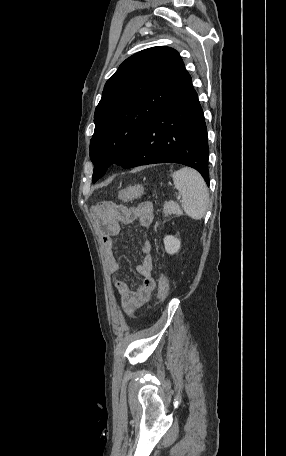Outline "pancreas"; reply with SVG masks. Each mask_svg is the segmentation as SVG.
<instances>
[{"instance_id":"cf45deb5","label":"pancreas","mask_w":286,"mask_h":456,"mask_svg":"<svg viewBox=\"0 0 286 456\" xmlns=\"http://www.w3.org/2000/svg\"><path fill=\"white\" fill-rule=\"evenodd\" d=\"M163 213L165 216L174 214L177 216L183 215V211L180 209V206L173 201L165 202L163 207Z\"/></svg>"}]
</instances>
